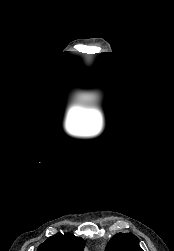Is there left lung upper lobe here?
Returning a JSON list of instances; mask_svg holds the SVG:
<instances>
[{
    "mask_svg": "<svg viewBox=\"0 0 174 251\" xmlns=\"http://www.w3.org/2000/svg\"><path fill=\"white\" fill-rule=\"evenodd\" d=\"M105 251H143L138 238L132 233H117L109 241Z\"/></svg>",
    "mask_w": 174,
    "mask_h": 251,
    "instance_id": "1",
    "label": "left lung upper lobe"
}]
</instances>
